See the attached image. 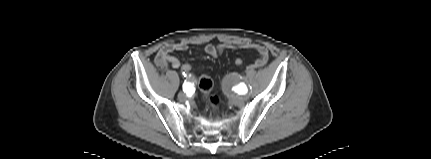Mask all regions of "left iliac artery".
Wrapping results in <instances>:
<instances>
[{"instance_id":"obj_1","label":"left iliac artery","mask_w":431,"mask_h":159,"mask_svg":"<svg viewBox=\"0 0 431 159\" xmlns=\"http://www.w3.org/2000/svg\"><path fill=\"white\" fill-rule=\"evenodd\" d=\"M238 88H239V90H240V94H244V93H246L247 92V87L245 86V84H240L239 86H238Z\"/></svg>"}]
</instances>
